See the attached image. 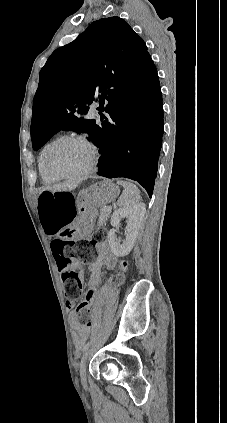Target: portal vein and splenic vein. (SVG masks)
<instances>
[{
  "mask_svg": "<svg viewBox=\"0 0 227 423\" xmlns=\"http://www.w3.org/2000/svg\"><path fill=\"white\" fill-rule=\"evenodd\" d=\"M106 210L111 211L112 210L111 206H108V208H106Z\"/></svg>",
  "mask_w": 227,
  "mask_h": 423,
  "instance_id": "18ae733b",
  "label": "portal vein and splenic vein"
}]
</instances>
